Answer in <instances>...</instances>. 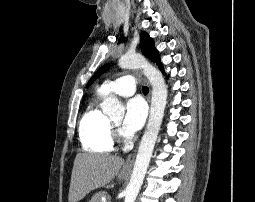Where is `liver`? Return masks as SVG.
I'll list each match as a JSON object with an SVG mask.
<instances>
[{
    "label": "liver",
    "instance_id": "liver-1",
    "mask_svg": "<svg viewBox=\"0 0 255 202\" xmlns=\"http://www.w3.org/2000/svg\"><path fill=\"white\" fill-rule=\"evenodd\" d=\"M124 160L106 154L76 155L71 175L68 201L78 202L91 190L109 183L117 175Z\"/></svg>",
    "mask_w": 255,
    "mask_h": 202
}]
</instances>
